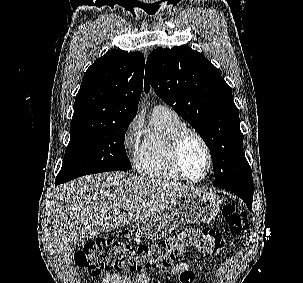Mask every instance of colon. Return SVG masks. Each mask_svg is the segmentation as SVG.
Listing matches in <instances>:
<instances>
[{
  "label": "colon",
  "mask_w": 303,
  "mask_h": 283,
  "mask_svg": "<svg viewBox=\"0 0 303 283\" xmlns=\"http://www.w3.org/2000/svg\"><path fill=\"white\" fill-rule=\"evenodd\" d=\"M222 215L232 236H239L248 229L247 213L235 205L226 204ZM224 242L222 233L211 227L186 229L154 243L133 244L102 238L78 250L74 263L77 268L86 269L91 276L112 270L142 272L167 267L189 250L209 256L217 255ZM194 278V273L187 270L180 274L178 283H192ZM166 283L177 282L171 280Z\"/></svg>",
  "instance_id": "5ec220e1"
}]
</instances>
